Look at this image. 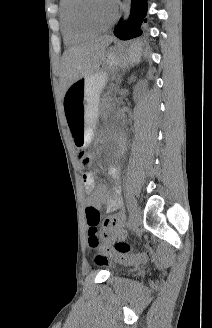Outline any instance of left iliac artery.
<instances>
[{"instance_id":"obj_1","label":"left iliac artery","mask_w":212,"mask_h":328,"mask_svg":"<svg viewBox=\"0 0 212 328\" xmlns=\"http://www.w3.org/2000/svg\"><path fill=\"white\" fill-rule=\"evenodd\" d=\"M128 209H129V211L132 210V203H131V202H129V207H128Z\"/></svg>"}]
</instances>
